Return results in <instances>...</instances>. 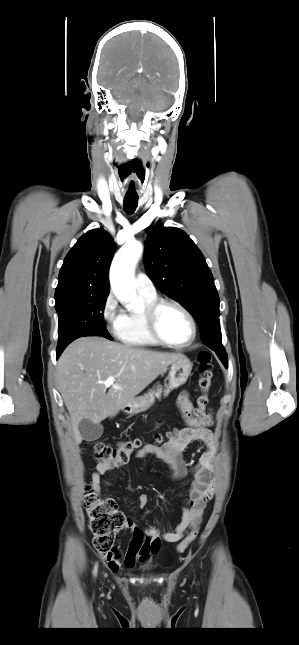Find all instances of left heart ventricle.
<instances>
[{"label":"left heart ventricle","instance_id":"1","mask_svg":"<svg viewBox=\"0 0 299 645\" xmlns=\"http://www.w3.org/2000/svg\"><path fill=\"white\" fill-rule=\"evenodd\" d=\"M158 326L162 336L171 342H185L191 335V325L188 318L173 306H166L161 310Z\"/></svg>","mask_w":299,"mask_h":645}]
</instances>
